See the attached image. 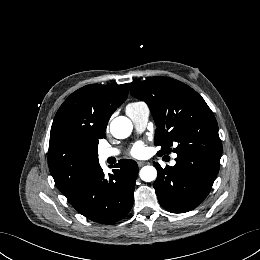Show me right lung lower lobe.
<instances>
[{
  "label": "right lung lower lobe",
  "instance_id": "obj_1",
  "mask_svg": "<svg viewBox=\"0 0 260 260\" xmlns=\"http://www.w3.org/2000/svg\"><path fill=\"white\" fill-rule=\"evenodd\" d=\"M114 167L113 174L106 177L99 165L74 195L67 198L79 213L94 222H117L133 205L137 163L122 159Z\"/></svg>",
  "mask_w": 260,
  "mask_h": 260
}]
</instances>
